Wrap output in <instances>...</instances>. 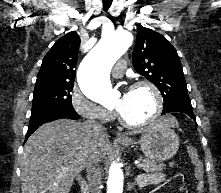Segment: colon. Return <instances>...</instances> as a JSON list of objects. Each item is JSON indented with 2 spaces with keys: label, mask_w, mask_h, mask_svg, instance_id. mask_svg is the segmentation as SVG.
Listing matches in <instances>:
<instances>
[{
  "label": "colon",
  "mask_w": 221,
  "mask_h": 193,
  "mask_svg": "<svg viewBox=\"0 0 221 193\" xmlns=\"http://www.w3.org/2000/svg\"><path fill=\"white\" fill-rule=\"evenodd\" d=\"M187 151L194 165V179H195V184H196V191L197 193H203V190H204L203 162L200 159L197 150L193 146L188 147Z\"/></svg>",
  "instance_id": "colon-1"
}]
</instances>
